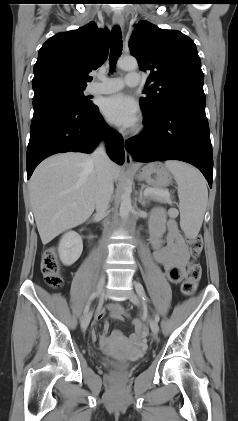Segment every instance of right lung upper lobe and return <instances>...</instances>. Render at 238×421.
<instances>
[{"label":"right lung upper lobe","mask_w":238,"mask_h":421,"mask_svg":"<svg viewBox=\"0 0 238 421\" xmlns=\"http://www.w3.org/2000/svg\"><path fill=\"white\" fill-rule=\"evenodd\" d=\"M109 32L89 23L77 30L61 32L48 39L34 65L33 86L63 83L86 87L88 75L108 56Z\"/></svg>","instance_id":"obj_1"}]
</instances>
